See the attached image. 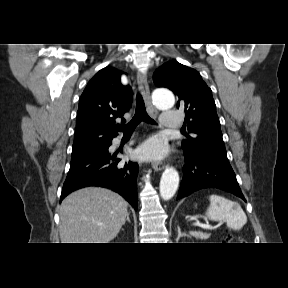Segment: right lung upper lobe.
<instances>
[{
  "label": "right lung upper lobe",
  "mask_w": 288,
  "mask_h": 288,
  "mask_svg": "<svg viewBox=\"0 0 288 288\" xmlns=\"http://www.w3.org/2000/svg\"><path fill=\"white\" fill-rule=\"evenodd\" d=\"M121 74L107 66L87 84L79 101L73 151L101 148L117 136L115 119L132 103L131 88L121 84Z\"/></svg>",
  "instance_id": "obj_1"
}]
</instances>
